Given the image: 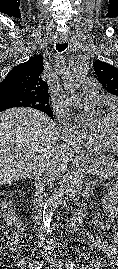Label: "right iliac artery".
<instances>
[{"mask_svg": "<svg viewBox=\"0 0 118 269\" xmlns=\"http://www.w3.org/2000/svg\"><path fill=\"white\" fill-rule=\"evenodd\" d=\"M42 267V264H40L38 267H37V269H40Z\"/></svg>", "mask_w": 118, "mask_h": 269, "instance_id": "right-iliac-artery-1", "label": "right iliac artery"}]
</instances>
